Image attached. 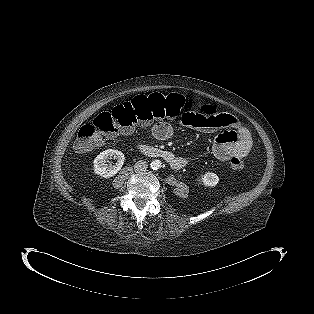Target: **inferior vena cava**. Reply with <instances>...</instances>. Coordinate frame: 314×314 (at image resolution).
Returning a JSON list of instances; mask_svg holds the SVG:
<instances>
[{
	"mask_svg": "<svg viewBox=\"0 0 314 314\" xmlns=\"http://www.w3.org/2000/svg\"><path fill=\"white\" fill-rule=\"evenodd\" d=\"M147 168H148V163L144 160H139L134 165V170L135 172H138V173L145 172Z\"/></svg>",
	"mask_w": 314,
	"mask_h": 314,
	"instance_id": "inferior-vena-cava-1",
	"label": "inferior vena cava"
}]
</instances>
